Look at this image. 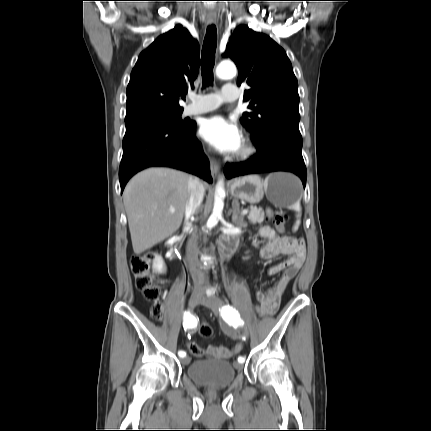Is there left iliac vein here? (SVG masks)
<instances>
[{
  "mask_svg": "<svg viewBox=\"0 0 431 431\" xmlns=\"http://www.w3.org/2000/svg\"><path fill=\"white\" fill-rule=\"evenodd\" d=\"M200 303L202 305L210 308L214 312L215 315L220 314V309L222 307V301L218 297H216V296H209V297L203 296L201 298ZM236 367L238 369H242L243 365H242V363L238 362V363H236Z\"/></svg>",
  "mask_w": 431,
  "mask_h": 431,
  "instance_id": "4c4485c4",
  "label": "left iliac vein"
}]
</instances>
